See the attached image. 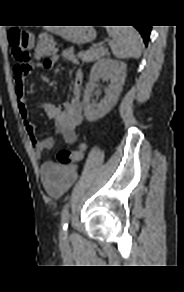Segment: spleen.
<instances>
[{"mask_svg": "<svg viewBox=\"0 0 184 292\" xmlns=\"http://www.w3.org/2000/svg\"><path fill=\"white\" fill-rule=\"evenodd\" d=\"M109 36L114 40L111 51L116 58L138 59L142 53V39L138 31L131 26L108 27Z\"/></svg>", "mask_w": 184, "mask_h": 292, "instance_id": "obj_1", "label": "spleen"}]
</instances>
